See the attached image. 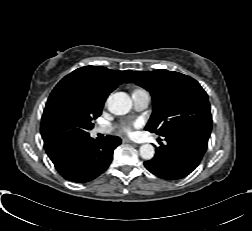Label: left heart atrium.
Here are the masks:
<instances>
[{
	"instance_id": "obj_1",
	"label": "left heart atrium",
	"mask_w": 252,
	"mask_h": 231,
	"mask_svg": "<svg viewBox=\"0 0 252 231\" xmlns=\"http://www.w3.org/2000/svg\"><path fill=\"white\" fill-rule=\"evenodd\" d=\"M140 124H141L140 121H134V122L123 124L121 128L124 132L130 133L132 128H136V127L140 126Z\"/></svg>"
}]
</instances>
